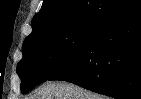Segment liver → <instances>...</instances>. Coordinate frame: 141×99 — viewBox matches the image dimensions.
Segmentation results:
<instances>
[{
	"label": "liver",
	"mask_w": 141,
	"mask_h": 99,
	"mask_svg": "<svg viewBox=\"0 0 141 99\" xmlns=\"http://www.w3.org/2000/svg\"><path fill=\"white\" fill-rule=\"evenodd\" d=\"M27 99H106L68 82H49L38 88Z\"/></svg>",
	"instance_id": "6515ba94"
}]
</instances>
